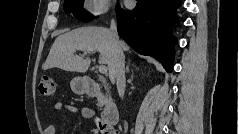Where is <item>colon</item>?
<instances>
[{
    "label": "colon",
    "instance_id": "1",
    "mask_svg": "<svg viewBox=\"0 0 239 134\" xmlns=\"http://www.w3.org/2000/svg\"><path fill=\"white\" fill-rule=\"evenodd\" d=\"M39 91L41 94L46 96L53 95L55 91V83L53 78L48 75L41 76L39 81ZM97 123L102 134H114V131L110 126L102 123L101 121H98Z\"/></svg>",
    "mask_w": 239,
    "mask_h": 134
}]
</instances>
